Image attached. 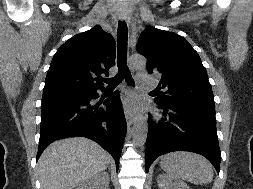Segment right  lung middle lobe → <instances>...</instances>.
<instances>
[{
    "label": "right lung middle lobe",
    "instance_id": "right-lung-middle-lobe-1",
    "mask_svg": "<svg viewBox=\"0 0 253 189\" xmlns=\"http://www.w3.org/2000/svg\"><path fill=\"white\" fill-rule=\"evenodd\" d=\"M85 91H77V90H62V91H53V92H43V97L49 95H61V94H77L80 95Z\"/></svg>",
    "mask_w": 253,
    "mask_h": 189
}]
</instances>
